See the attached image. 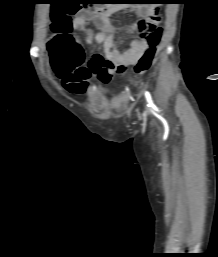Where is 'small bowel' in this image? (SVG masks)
Returning <instances> with one entry per match:
<instances>
[{
    "mask_svg": "<svg viewBox=\"0 0 218 257\" xmlns=\"http://www.w3.org/2000/svg\"><path fill=\"white\" fill-rule=\"evenodd\" d=\"M136 10L132 6H114L106 8L102 14L80 9L72 20V27L85 35L86 43L91 47L88 52V65L76 69L69 77H60L64 87L75 94L85 93L89 87V79L97 75L99 82L106 84L116 75L123 74L127 67L136 65L149 47L145 37L131 41L125 49L115 45V30L112 16L132 14ZM146 12V10H138ZM96 44H102L104 52H95Z\"/></svg>",
    "mask_w": 218,
    "mask_h": 257,
    "instance_id": "c3829d8e",
    "label": "small bowel"
}]
</instances>
